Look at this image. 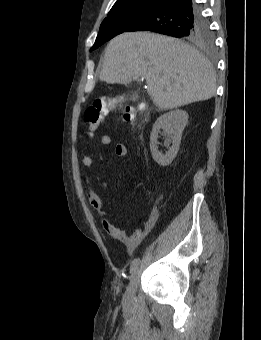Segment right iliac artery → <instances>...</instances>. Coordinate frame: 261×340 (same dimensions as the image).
<instances>
[{"mask_svg": "<svg viewBox=\"0 0 261 340\" xmlns=\"http://www.w3.org/2000/svg\"><path fill=\"white\" fill-rule=\"evenodd\" d=\"M140 263V259L139 258H135L130 265V273H132L139 265Z\"/></svg>", "mask_w": 261, "mask_h": 340, "instance_id": "1", "label": "right iliac artery"}]
</instances>
